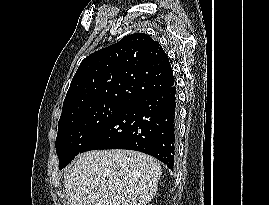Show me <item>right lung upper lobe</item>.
Returning a JSON list of instances; mask_svg holds the SVG:
<instances>
[{
    "instance_id": "cb5924a9",
    "label": "right lung upper lobe",
    "mask_w": 269,
    "mask_h": 205,
    "mask_svg": "<svg viewBox=\"0 0 269 205\" xmlns=\"http://www.w3.org/2000/svg\"><path fill=\"white\" fill-rule=\"evenodd\" d=\"M173 85V71L161 45L145 33L131 34L81 62L60 118L97 103L130 105Z\"/></svg>"
}]
</instances>
